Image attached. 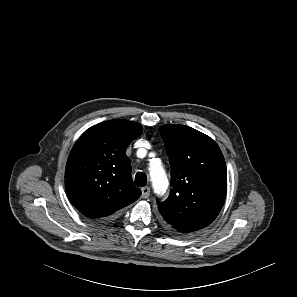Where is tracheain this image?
Segmentation results:
<instances>
[{"instance_id":"1","label":"trachea","mask_w":297,"mask_h":297,"mask_svg":"<svg viewBox=\"0 0 297 297\" xmlns=\"http://www.w3.org/2000/svg\"><path fill=\"white\" fill-rule=\"evenodd\" d=\"M147 184V176L143 172H138L135 176V185L143 187Z\"/></svg>"}]
</instances>
